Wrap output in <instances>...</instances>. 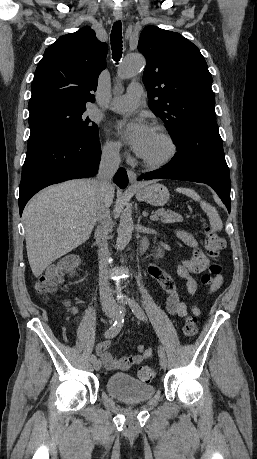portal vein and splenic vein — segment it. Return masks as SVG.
<instances>
[{
  "label": "portal vein and splenic vein",
  "instance_id": "portal-vein-and-splenic-vein-1",
  "mask_svg": "<svg viewBox=\"0 0 257 459\" xmlns=\"http://www.w3.org/2000/svg\"><path fill=\"white\" fill-rule=\"evenodd\" d=\"M150 218H151V220H157L158 219L157 215H152Z\"/></svg>",
  "mask_w": 257,
  "mask_h": 459
}]
</instances>
